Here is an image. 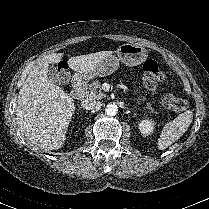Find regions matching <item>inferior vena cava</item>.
I'll use <instances>...</instances> for the list:
<instances>
[{
	"label": "inferior vena cava",
	"mask_w": 209,
	"mask_h": 209,
	"mask_svg": "<svg viewBox=\"0 0 209 209\" xmlns=\"http://www.w3.org/2000/svg\"><path fill=\"white\" fill-rule=\"evenodd\" d=\"M101 103L100 101H92V100H85L82 102V107L87 109V110H93V111H98L101 108Z\"/></svg>",
	"instance_id": "inferior-vena-cava-1"
}]
</instances>
